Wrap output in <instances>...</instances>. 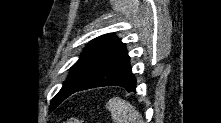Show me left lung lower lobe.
Listing matches in <instances>:
<instances>
[{
    "label": "left lung lower lobe",
    "mask_w": 221,
    "mask_h": 123,
    "mask_svg": "<svg viewBox=\"0 0 221 123\" xmlns=\"http://www.w3.org/2000/svg\"><path fill=\"white\" fill-rule=\"evenodd\" d=\"M129 60L130 58L126 52L102 68L75 92L110 85L124 87L128 92L134 91L136 89V79L131 72Z\"/></svg>",
    "instance_id": "0a47b994"
}]
</instances>
